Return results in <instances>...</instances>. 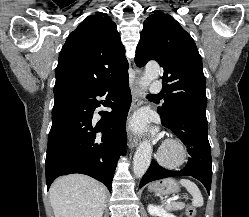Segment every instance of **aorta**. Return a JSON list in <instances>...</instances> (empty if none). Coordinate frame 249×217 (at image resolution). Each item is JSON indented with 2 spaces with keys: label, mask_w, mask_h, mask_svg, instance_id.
Here are the masks:
<instances>
[{
  "label": "aorta",
  "mask_w": 249,
  "mask_h": 217,
  "mask_svg": "<svg viewBox=\"0 0 249 217\" xmlns=\"http://www.w3.org/2000/svg\"><path fill=\"white\" fill-rule=\"evenodd\" d=\"M160 73V67L156 62H149L145 67V72L140 80L143 94L149 84L155 80ZM152 146L148 140H143L137 148L133 158V172L137 178H141L151 163Z\"/></svg>",
  "instance_id": "aorta-1"
}]
</instances>
